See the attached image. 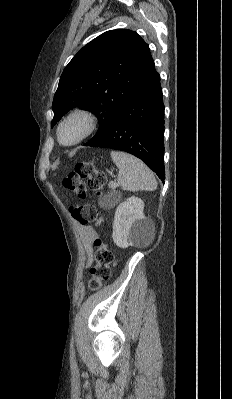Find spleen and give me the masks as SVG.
Masks as SVG:
<instances>
[{"label":"spleen","mask_w":232,"mask_h":399,"mask_svg":"<svg viewBox=\"0 0 232 399\" xmlns=\"http://www.w3.org/2000/svg\"><path fill=\"white\" fill-rule=\"evenodd\" d=\"M111 158L119 170L117 186H121L122 190H129V192L156 190L155 176L141 160L125 152H111Z\"/></svg>","instance_id":"3e777b00"}]
</instances>
